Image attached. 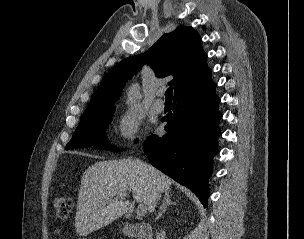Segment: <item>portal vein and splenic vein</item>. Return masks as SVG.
<instances>
[{
  "instance_id": "obj_1",
  "label": "portal vein and splenic vein",
  "mask_w": 304,
  "mask_h": 239,
  "mask_svg": "<svg viewBox=\"0 0 304 239\" xmlns=\"http://www.w3.org/2000/svg\"><path fill=\"white\" fill-rule=\"evenodd\" d=\"M126 196H127L126 193H120V194H119V198H124V197H126ZM136 213H137V216H138V217H143V216H145V214L147 213V208H146V206H145L144 204H139V205L137 206Z\"/></svg>"
}]
</instances>
